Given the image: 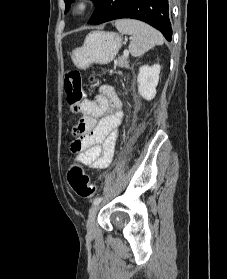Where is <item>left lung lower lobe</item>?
I'll use <instances>...</instances> for the list:
<instances>
[{"mask_svg": "<svg viewBox=\"0 0 227 279\" xmlns=\"http://www.w3.org/2000/svg\"><path fill=\"white\" fill-rule=\"evenodd\" d=\"M89 24H101L115 19L132 18L158 29L171 41L168 0H99Z\"/></svg>", "mask_w": 227, "mask_h": 279, "instance_id": "0a47b994", "label": "left lung lower lobe"}]
</instances>
